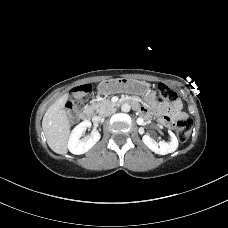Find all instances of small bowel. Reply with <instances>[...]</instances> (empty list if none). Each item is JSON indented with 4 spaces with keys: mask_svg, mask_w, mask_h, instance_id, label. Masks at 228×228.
Returning a JSON list of instances; mask_svg holds the SVG:
<instances>
[{
    "mask_svg": "<svg viewBox=\"0 0 228 228\" xmlns=\"http://www.w3.org/2000/svg\"><path fill=\"white\" fill-rule=\"evenodd\" d=\"M146 100L150 104H155V93L150 92L147 95ZM138 109L145 115L149 113V110L146 107L139 106ZM181 109H182V104L179 100L174 101L169 106L167 105L157 106V110L160 114V119L167 124H172L175 119H180L185 117V113Z\"/></svg>",
    "mask_w": 228,
    "mask_h": 228,
    "instance_id": "c3829d8e",
    "label": "small bowel"
}]
</instances>
